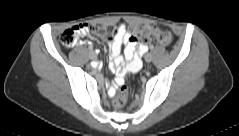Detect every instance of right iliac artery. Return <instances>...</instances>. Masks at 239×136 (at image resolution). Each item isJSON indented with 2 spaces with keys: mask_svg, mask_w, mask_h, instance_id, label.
<instances>
[{
  "mask_svg": "<svg viewBox=\"0 0 239 136\" xmlns=\"http://www.w3.org/2000/svg\"><path fill=\"white\" fill-rule=\"evenodd\" d=\"M89 48H90V49H88V53H92V49H93V47L90 46Z\"/></svg>",
  "mask_w": 239,
  "mask_h": 136,
  "instance_id": "82829eb1",
  "label": "right iliac artery"
}]
</instances>
